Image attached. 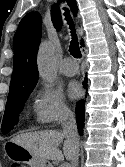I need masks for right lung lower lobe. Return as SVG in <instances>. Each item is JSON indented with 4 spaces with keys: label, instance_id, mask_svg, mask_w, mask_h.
<instances>
[{
    "label": "right lung lower lobe",
    "instance_id": "right-lung-lower-lobe-1",
    "mask_svg": "<svg viewBox=\"0 0 125 167\" xmlns=\"http://www.w3.org/2000/svg\"><path fill=\"white\" fill-rule=\"evenodd\" d=\"M83 86L86 88L87 86V77H85V80L83 82ZM85 108V100H80L76 104V119H77V127L80 135L83 134V128H84V121H85V114L84 109Z\"/></svg>",
    "mask_w": 125,
    "mask_h": 167
}]
</instances>
